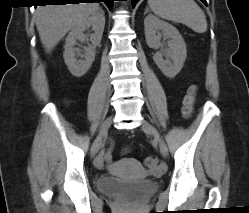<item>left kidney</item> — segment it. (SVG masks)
<instances>
[{
	"label": "left kidney",
	"mask_w": 249,
	"mask_h": 213,
	"mask_svg": "<svg viewBox=\"0 0 249 213\" xmlns=\"http://www.w3.org/2000/svg\"><path fill=\"white\" fill-rule=\"evenodd\" d=\"M144 27L146 42L150 48L159 47L162 37L169 39L170 53H166V56L171 61L164 60L161 52L155 53L153 60L166 77L174 78L181 71L187 57L186 44L182 35L173 25L152 14L145 18Z\"/></svg>",
	"instance_id": "obj_1"
}]
</instances>
